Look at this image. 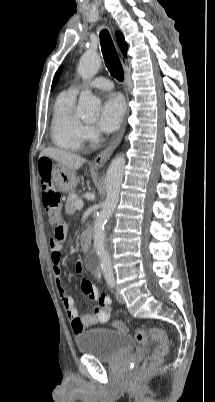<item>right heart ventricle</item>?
<instances>
[{
	"label": "right heart ventricle",
	"instance_id": "obj_1",
	"mask_svg": "<svg viewBox=\"0 0 215 402\" xmlns=\"http://www.w3.org/2000/svg\"><path fill=\"white\" fill-rule=\"evenodd\" d=\"M76 93L71 90L62 91L53 106L51 121V138L53 143L64 150L80 149L84 124L75 114Z\"/></svg>",
	"mask_w": 215,
	"mask_h": 402
}]
</instances>
